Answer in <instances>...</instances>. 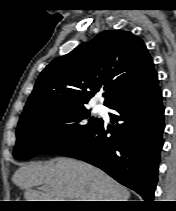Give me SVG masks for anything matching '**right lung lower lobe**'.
Instances as JSON below:
<instances>
[{
  "label": "right lung lower lobe",
  "mask_w": 176,
  "mask_h": 211,
  "mask_svg": "<svg viewBox=\"0 0 176 211\" xmlns=\"http://www.w3.org/2000/svg\"><path fill=\"white\" fill-rule=\"evenodd\" d=\"M111 109L119 113L111 115L117 123L113 128L108 130L102 121L79 143L57 154L93 164L152 201L165 127L162 91L157 83L147 93Z\"/></svg>",
  "instance_id": "98d812e1"
}]
</instances>
